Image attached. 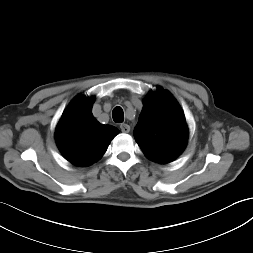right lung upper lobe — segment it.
Wrapping results in <instances>:
<instances>
[{
    "label": "right lung upper lobe",
    "mask_w": 253,
    "mask_h": 253,
    "mask_svg": "<svg viewBox=\"0 0 253 253\" xmlns=\"http://www.w3.org/2000/svg\"><path fill=\"white\" fill-rule=\"evenodd\" d=\"M94 98L77 96L63 113L56 128V143L64 157L77 166H89L105 153L119 133L100 124L92 115Z\"/></svg>",
    "instance_id": "1"
}]
</instances>
